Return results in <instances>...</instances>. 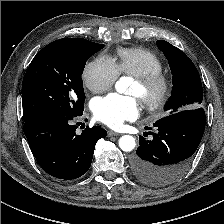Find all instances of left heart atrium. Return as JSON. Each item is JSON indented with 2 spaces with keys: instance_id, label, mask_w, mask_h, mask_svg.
<instances>
[{
  "instance_id": "left-heart-atrium-1",
  "label": "left heart atrium",
  "mask_w": 224,
  "mask_h": 224,
  "mask_svg": "<svg viewBox=\"0 0 224 224\" xmlns=\"http://www.w3.org/2000/svg\"><path fill=\"white\" fill-rule=\"evenodd\" d=\"M139 113L140 101L136 96L112 93L93 102L95 118L111 128H118L125 121L135 119Z\"/></svg>"
}]
</instances>
